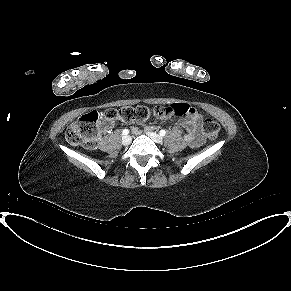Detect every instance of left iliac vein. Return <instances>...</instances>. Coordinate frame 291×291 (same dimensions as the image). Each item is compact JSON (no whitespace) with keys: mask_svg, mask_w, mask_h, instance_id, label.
Masks as SVG:
<instances>
[{"mask_svg":"<svg viewBox=\"0 0 291 291\" xmlns=\"http://www.w3.org/2000/svg\"><path fill=\"white\" fill-rule=\"evenodd\" d=\"M146 134L155 142V143H162L163 142V138L151 131H146Z\"/></svg>","mask_w":291,"mask_h":291,"instance_id":"obj_1","label":"left iliac vein"}]
</instances>
